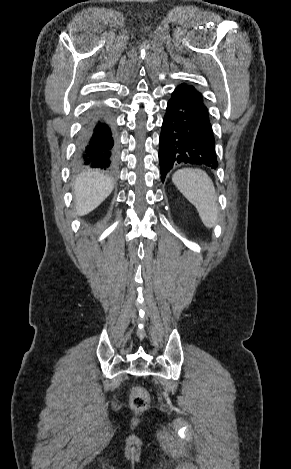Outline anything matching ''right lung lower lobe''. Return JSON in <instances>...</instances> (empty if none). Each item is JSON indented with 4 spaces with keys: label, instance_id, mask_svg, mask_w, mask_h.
<instances>
[{
    "label": "right lung lower lobe",
    "instance_id": "obj_1",
    "mask_svg": "<svg viewBox=\"0 0 291 469\" xmlns=\"http://www.w3.org/2000/svg\"><path fill=\"white\" fill-rule=\"evenodd\" d=\"M117 163V138L111 117L91 110L85 117L78 140L75 166L113 171Z\"/></svg>",
    "mask_w": 291,
    "mask_h": 469
}]
</instances>
